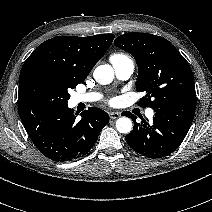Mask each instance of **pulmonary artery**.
Returning a JSON list of instances; mask_svg holds the SVG:
<instances>
[{"mask_svg": "<svg viewBox=\"0 0 212 212\" xmlns=\"http://www.w3.org/2000/svg\"><path fill=\"white\" fill-rule=\"evenodd\" d=\"M116 76L121 80L128 79L134 71V62L130 58H124L117 61H112ZM100 99V94L91 92L86 94H76L73 96V102L75 104L85 103V102H94ZM145 115L148 118H152L154 111L152 109H147Z\"/></svg>", "mask_w": 212, "mask_h": 212, "instance_id": "obj_1", "label": "pulmonary artery"}]
</instances>
